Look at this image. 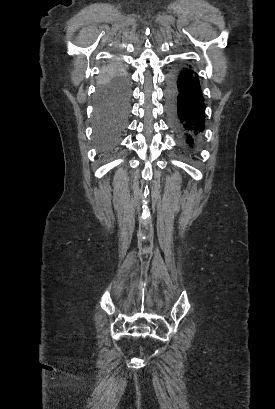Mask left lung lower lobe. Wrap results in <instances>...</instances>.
Wrapping results in <instances>:
<instances>
[{
    "label": "left lung lower lobe",
    "instance_id": "1",
    "mask_svg": "<svg viewBox=\"0 0 275 409\" xmlns=\"http://www.w3.org/2000/svg\"><path fill=\"white\" fill-rule=\"evenodd\" d=\"M167 115L171 130L192 145L204 129L205 103L199 77L191 67H174L168 74Z\"/></svg>",
    "mask_w": 275,
    "mask_h": 409
}]
</instances>
